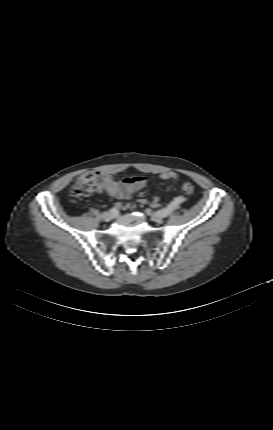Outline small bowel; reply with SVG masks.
I'll return each instance as SVG.
<instances>
[{"instance_id": "small-bowel-1", "label": "small bowel", "mask_w": 273, "mask_h": 430, "mask_svg": "<svg viewBox=\"0 0 273 430\" xmlns=\"http://www.w3.org/2000/svg\"><path fill=\"white\" fill-rule=\"evenodd\" d=\"M99 184H98V192L107 193L110 196L120 199V200H128L134 194L142 190L148 183L149 179L146 176H135L130 178H124L122 180H115L114 177L106 172L97 173ZM162 180H166L171 182V184H176L180 180V176L178 173L169 171L164 172L159 175ZM171 188H169V191ZM178 201L182 203L184 198L182 196L177 197ZM139 202L141 204H149L151 207L156 208L160 205V199L157 196H154L150 199H140ZM120 209L129 208L128 204L119 203L117 205Z\"/></svg>"}]
</instances>
